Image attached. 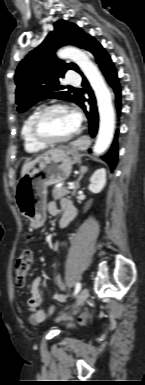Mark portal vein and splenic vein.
<instances>
[{"instance_id":"18ae733b","label":"portal vein and splenic vein","mask_w":145,"mask_h":385,"mask_svg":"<svg viewBox=\"0 0 145 385\" xmlns=\"http://www.w3.org/2000/svg\"><path fill=\"white\" fill-rule=\"evenodd\" d=\"M74 185L73 184H70L69 186H68V189H74Z\"/></svg>"}]
</instances>
